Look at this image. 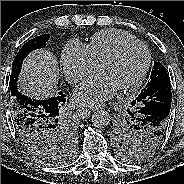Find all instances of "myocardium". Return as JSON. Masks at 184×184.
<instances>
[{"mask_svg":"<svg viewBox=\"0 0 184 184\" xmlns=\"http://www.w3.org/2000/svg\"><path fill=\"white\" fill-rule=\"evenodd\" d=\"M133 46H139L145 51L146 60H145L144 66H143L142 70L140 71L139 75L133 81L128 83L127 85L119 88L121 91L134 90V89L138 88L140 86V84L143 82V80L145 79V77L150 69L151 62H152V54H151L149 47L145 43H143L139 40L128 41V42H125V43H122L121 45H119L110 54L105 56L98 64V69H100L103 65L115 61L117 58L120 57V55L126 49L133 47Z\"/></svg>","mask_w":184,"mask_h":184,"instance_id":"myocardium-1","label":"myocardium"}]
</instances>
